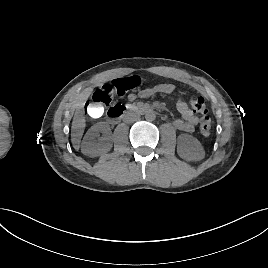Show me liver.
I'll list each match as a JSON object with an SVG mask.
<instances>
[{"mask_svg":"<svg viewBox=\"0 0 268 268\" xmlns=\"http://www.w3.org/2000/svg\"><path fill=\"white\" fill-rule=\"evenodd\" d=\"M92 88H87L78 96V105L71 126V141L74 148H79L81 138L86 126L83 106L91 94Z\"/></svg>","mask_w":268,"mask_h":268,"instance_id":"6515ba94","label":"liver"}]
</instances>
